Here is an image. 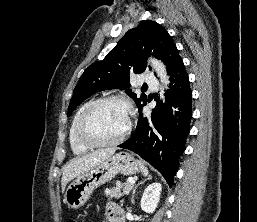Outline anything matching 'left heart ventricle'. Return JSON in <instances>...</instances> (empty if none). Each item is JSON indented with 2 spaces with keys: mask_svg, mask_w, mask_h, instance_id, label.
<instances>
[{
  "mask_svg": "<svg viewBox=\"0 0 257 222\" xmlns=\"http://www.w3.org/2000/svg\"><path fill=\"white\" fill-rule=\"evenodd\" d=\"M129 120L127 108L118 102H109L97 108L88 118L86 132L98 141H111L126 129Z\"/></svg>",
  "mask_w": 257,
  "mask_h": 222,
  "instance_id": "1",
  "label": "left heart ventricle"
}]
</instances>
